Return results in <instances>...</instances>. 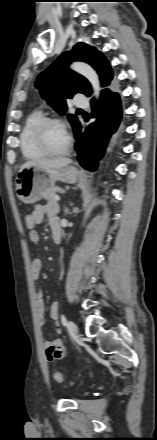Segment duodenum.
I'll return each instance as SVG.
<instances>
[{
    "instance_id": "410a0bca",
    "label": "duodenum",
    "mask_w": 157,
    "mask_h": 440,
    "mask_svg": "<svg viewBox=\"0 0 157 440\" xmlns=\"http://www.w3.org/2000/svg\"><path fill=\"white\" fill-rule=\"evenodd\" d=\"M52 239L55 244L61 241V229L60 226L52 228Z\"/></svg>"
}]
</instances>
